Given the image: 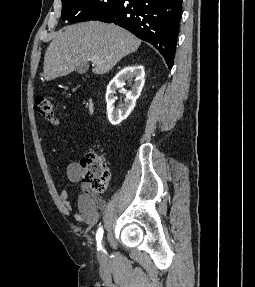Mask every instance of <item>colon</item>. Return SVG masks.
<instances>
[{"label":"colon","mask_w":255,"mask_h":287,"mask_svg":"<svg viewBox=\"0 0 255 287\" xmlns=\"http://www.w3.org/2000/svg\"><path fill=\"white\" fill-rule=\"evenodd\" d=\"M34 108L45 120L57 124L54 104L49 97L38 96ZM81 164L84 168L83 181L87 187L95 193L104 192L109 184L110 172L103 155L90 151L83 157Z\"/></svg>","instance_id":"5ec220e1"}]
</instances>
